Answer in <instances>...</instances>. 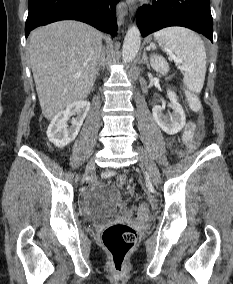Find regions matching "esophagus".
<instances>
[{
    "mask_svg": "<svg viewBox=\"0 0 233 284\" xmlns=\"http://www.w3.org/2000/svg\"><path fill=\"white\" fill-rule=\"evenodd\" d=\"M126 3L129 7L130 13L133 14L135 10L134 0H126Z\"/></svg>",
    "mask_w": 233,
    "mask_h": 284,
    "instance_id": "34e87169",
    "label": "esophagus"
}]
</instances>
